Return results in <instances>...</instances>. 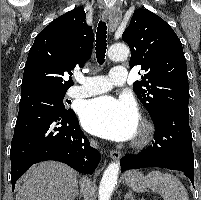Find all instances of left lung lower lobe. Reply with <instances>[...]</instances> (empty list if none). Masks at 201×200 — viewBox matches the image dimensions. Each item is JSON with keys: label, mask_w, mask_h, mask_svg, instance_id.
<instances>
[{"label": "left lung lower lobe", "mask_w": 201, "mask_h": 200, "mask_svg": "<svg viewBox=\"0 0 201 200\" xmlns=\"http://www.w3.org/2000/svg\"><path fill=\"white\" fill-rule=\"evenodd\" d=\"M155 141L138 154L120 160L121 172L145 167L182 171L194 186V154L189 127V109L185 105H167L152 117Z\"/></svg>", "instance_id": "1"}]
</instances>
